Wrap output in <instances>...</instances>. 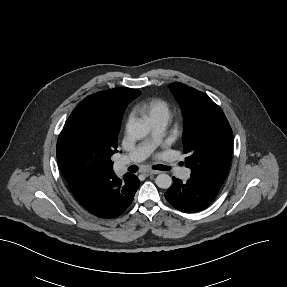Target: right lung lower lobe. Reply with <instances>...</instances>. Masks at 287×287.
Wrapping results in <instances>:
<instances>
[{
    "instance_id": "right-lung-lower-lobe-1",
    "label": "right lung lower lobe",
    "mask_w": 287,
    "mask_h": 287,
    "mask_svg": "<svg viewBox=\"0 0 287 287\" xmlns=\"http://www.w3.org/2000/svg\"><path fill=\"white\" fill-rule=\"evenodd\" d=\"M140 185L130 173L118 178L115 173L97 180L83 181L69 186L78 202L90 213L101 218H115L132 203Z\"/></svg>"
}]
</instances>
